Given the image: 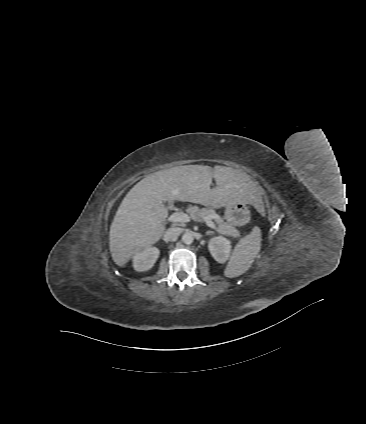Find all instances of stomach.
<instances>
[{
    "label": "stomach",
    "instance_id": "obj_1",
    "mask_svg": "<svg viewBox=\"0 0 366 424\" xmlns=\"http://www.w3.org/2000/svg\"><path fill=\"white\" fill-rule=\"evenodd\" d=\"M249 215L247 203L237 202L226 205L225 219L231 225H240L242 221H246L242 220V217L245 216L248 219Z\"/></svg>",
    "mask_w": 366,
    "mask_h": 424
}]
</instances>
